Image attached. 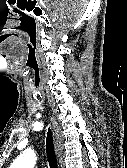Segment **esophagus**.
Segmentation results:
<instances>
[{
  "instance_id": "obj_1",
  "label": "esophagus",
  "mask_w": 127,
  "mask_h": 168,
  "mask_svg": "<svg viewBox=\"0 0 127 168\" xmlns=\"http://www.w3.org/2000/svg\"><path fill=\"white\" fill-rule=\"evenodd\" d=\"M51 120H52L55 150L57 155L60 156L62 152V133H61L60 126L58 125L54 117H52Z\"/></svg>"
}]
</instances>
